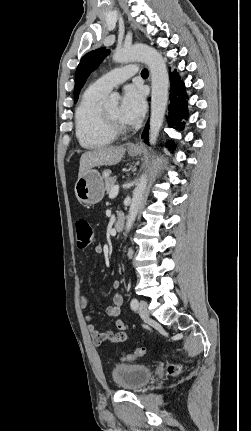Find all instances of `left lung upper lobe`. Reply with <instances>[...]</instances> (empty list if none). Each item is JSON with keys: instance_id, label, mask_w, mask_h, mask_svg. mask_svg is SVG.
Masks as SVG:
<instances>
[{"instance_id": "5c2ea615", "label": "left lung upper lobe", "mask_w": 251, "mask_h": 431, "mask_svg": "<svg viewBox=\"0 0 251 431\" xmlns=\"http://www.w3.org/2000/svg\"><path fill=\"white\" fill-rule=\"evenodd\" d=\"M108 53L109 50L103 47L91 51L82 57L75 74L74 102L77 101L87 77L100 65Z\"/></svg>"}]
</instances>
